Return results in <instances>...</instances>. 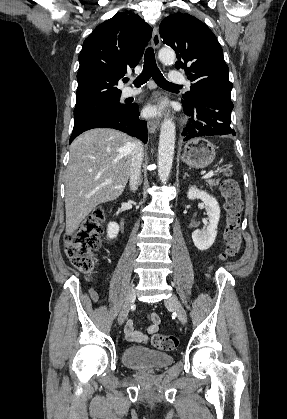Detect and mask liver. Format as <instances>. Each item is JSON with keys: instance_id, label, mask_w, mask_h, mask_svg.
Returning a JSON list of instances; mask_svg holds the SVG:
<instances>
[{"instance_id": "1", "label": "liver", "mask_w": 287, "mask_h": 419, "mask_svg": "<svg viewBox=\"0 0 287 419\" xmlns=\"http://www.w3.org/2000/svg\"><path fill=\"white\" fill-rule=\"evenodd\" d=\"M133 144L130 136L109 128L89 130L72 142L65 177L67 235H72L96 206L122 194L130 174Z\"/></svg>"}]
</instances>
